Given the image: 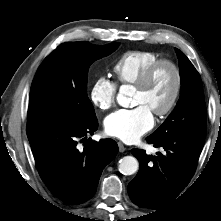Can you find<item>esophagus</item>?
<instances>
[{"mask_svg":"<svg viewBox=\"0 0 221 221\" xmlns=\"http://www.w3.org/2000/svg\"><path fill=\"white\" fill-rule=\"evenodd\" d=\"M118 147H119V151L120 152H124L126 150V147L124 146V144L122 142H118Z\"/></svg>","mask_w":221,"mask_h":221,"instance_id":"esophagus-1","label":"esophagus"}]
</instances>
